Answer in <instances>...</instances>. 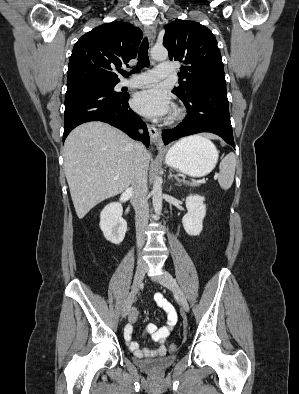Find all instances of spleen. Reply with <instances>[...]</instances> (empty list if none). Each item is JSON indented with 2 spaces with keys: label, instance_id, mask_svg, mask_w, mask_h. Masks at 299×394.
Returning <instances> with one entry per match:
<instances>
[{
  "label": "spleen",
  "instance_id": "3e777b00",
  "mask_svg": "<svg viewBox=\"0 0 299 394\" xmlns=\"http://www.w3.org/2000/svg\"><path fill=\"white\" fill-rule=\"evenodd\" d=\"M199 140L209 142L211 143L210 140L207 138L201 137V136H194ZM235 167H236V156L234 153H229L227 154L220 162L219 164V178L218 182L220 187L223 190H228L233 183L234 180V175H235Z\"/></svg>",
  "mask_w": 299,
  "mask_h": 394
}]
</instances>
